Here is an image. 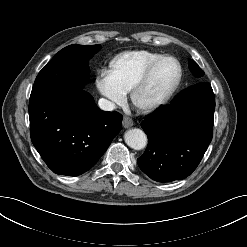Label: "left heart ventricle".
<instances>
[{
    "instance_id": "obj_1",
    "label": "left heart ventricle",
    "mask_w": 247,
    "mask_h": 247,
    "mask_svg": "<svg viewBox=\"0 0 247 247\" xmlns=\"http://www.w3.org/2000/svg\"><path fill=\"white\" fill-rule=\"evenodd\" d=\"M177 73V66L172 60L160 62L141 91L139 103L145 105L160 97L172 85Z\"/></svg>"
}]
</instances>
